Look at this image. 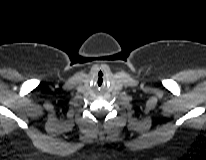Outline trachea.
<instances>
[{
	"label": "trachea",
	"instance_id": "3493384b",
	"mask_svg": "<svg viewBox=\"0 0 206 160\" xmlns=\"http://www.w3.org/2000/svg\"><path fill=\"white\" fill-rule=\"evenodd\" d=\"M97 83H98V86H101L103 84V74H102V72H99V74H98Z\"/></svg>",
	"mask_w": 206,
	"mask_h": 160
}]
</instances>
